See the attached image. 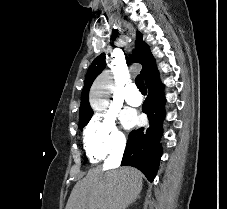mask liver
Segmentation results:
<instances>
[{"label":"liver","mask_w":227,"mask_h":209,"mask_svg":"<svg viewBox=\"0 0 227 209\" xmlns=\"http://www.w3.org/2000/svg\"><path fill=\"white\" fill-rule=\"evenodd\" d=\"M143 175L132 167L104 173L101 167L90 169L76 183L66 209H126L140 195Z\"/></svg>","instance_id":"obj_1"}]
</instances>
